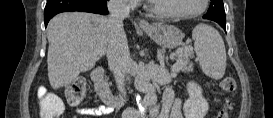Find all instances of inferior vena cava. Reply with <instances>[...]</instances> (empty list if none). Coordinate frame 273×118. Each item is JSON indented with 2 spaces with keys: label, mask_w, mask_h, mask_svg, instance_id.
<instances>
[{
  "label": "inferior vena cava",
  "mask_w": 273,
  "mask_h": 118,
  "mask_svg": "<svg viewBox=\"0 0 273 118\" xmlns=\"http://www.w3.org/2000/svg\"><path fill=\"white\" fill-rule=\"evenodd\" d=\"M108 10L110 12L108 18V64L120 92L121 102H125V76L131 59L127 38L123 29V19L129 15V8L124 0H109Z\"/></svg>",
  "instance_id": "1"
}]
</instances>
